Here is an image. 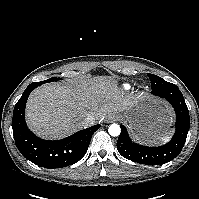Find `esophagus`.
<instances>
[{
	"mask_svg": "<svg viewBox=\"0 0 199 199\" xmlns=\"http://www.w3.org/2000/svg\"><path fill=\"white\" fill-rule=\"evenodd\" d=\"M117 119L114 115H110L108 118H107V122L108 123H111V122H115Z\"/></svg>",
	"mask_w": 199,
	"mask_h": 199,
	"instance_id": "esophagus-1",
	"label": "esophagus"
}]
</instances>
